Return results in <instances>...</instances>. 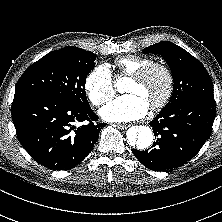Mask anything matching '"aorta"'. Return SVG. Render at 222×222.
Wrapping results in <instances>:
<instances>
[{
    "label": "aorta",
    "instance_id": "obj_1",
    "mask_svg": "<svg viewBox=\"0 0 222 222\" xmlns=\"http://www.w3.org/2000/svg\"><path fill=\"white\" fill-rule=\"evenodd\" d=\"M116 85L119 92L124 91L125 83L123 80H118ZM153 137L152 130L144 125L133 126L128 129L126 134L129 146L137 150L148 149L152 145Z\"/></svg>",
    "mask_w": 222,
    "mask_h": 222
}]
</instances>
